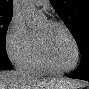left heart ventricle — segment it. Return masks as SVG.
<instances>
[{
  "label": "left heart ventricle",
  "instance_id": "1",
  "mask_svg": "<svg viewBox=\"0 0 89 89\" xmlns=\"http://www.w3.org/2000/svg\"><path fill=\"white\" fill-rule=\"evenodd\" d=\"M35 33L42 41L50 63L54 68L65 69L74 63L75 48L63 28L43 21L35 29Z\"/></svg>",
  "mask_w": 89,
  "mask_h": 89
}]
</instances>
